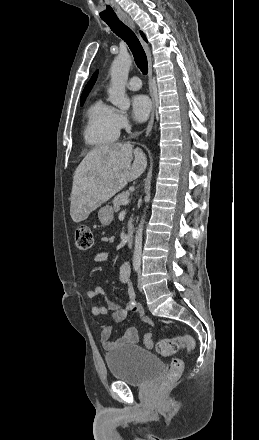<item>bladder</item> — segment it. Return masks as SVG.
Listing matches in <instances>:
<instances>
[{"mask_svg": "<svg viewBox=\"0 0 259 440\" xmlns=\"http://www.w3.org/2000/svg\"><path fill=\"white\" fill-rule=\"evenodd\" d=\"M114 379L142 386L164 371V362L153 353L133 344L117 347L105 355Z\"/></svg>", "mask_w": 259, "mask_h": 440, "instance_id": "1", "label": "bladder"}]
</instances>
